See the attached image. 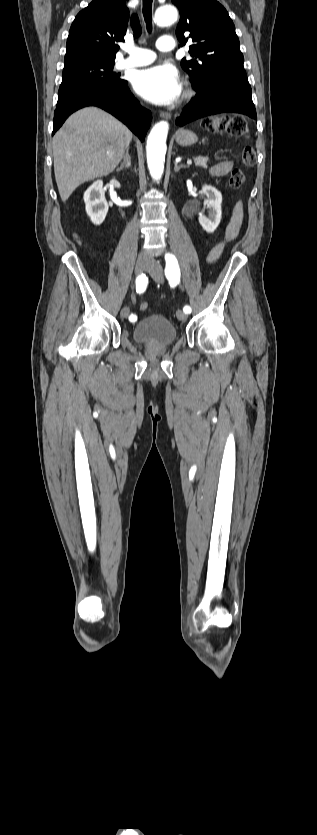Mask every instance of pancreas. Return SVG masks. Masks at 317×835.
<instances>
[{"instance_id":"cf45deb5","label":"pancreas","mask_w":317,"mask_h":835,"mask_svg":"<svg viewBox=\"0 0 317 835\" xmlns=\"http://www.w3.org/2000/svg\"><path fill=\"white\" fill-rule=\"evenodd\" d=\"M194 162H195L196 166H200V167L205 168V169L208 167L206 157L198 156L194 159Z\"/></svg>"}]
</instances>
